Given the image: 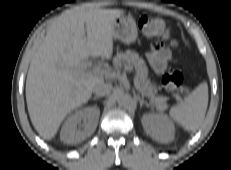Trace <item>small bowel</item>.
<instances>
[{
	"mask_svg": "<svg viewBox=\"0 0 231 170\" xmlns=\"http://www.w3.org/2000/svg\"><path fill=\"white\" fill-rule=\"evenodd\" d=\"M148 60L158 74H162L169 62L173 60L170 50L160 42H154L148 54Z\"/></svg>",
	"mask_w": 231,
	"mask_h": 170,
	"instance_id": "small-bowel-1",
	"label": "small bowel"
}]
</instances>
